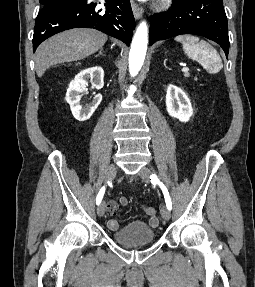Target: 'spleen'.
Masks as SVG:
<instances>
[{"label":"spleen","mask_w":255,"mask_h":287,"mask_svg":"<svg viewBox=\"0 0 255 287\" xmlns=\"http://www.w3.org/2000/svg\"><path fill=\"white\" fill-rule=\"evenodd\" d=\"M175 40L183 44V50L191 60H196V62L201 60L203 66H209L212 72H219L223 68L219 54L203 40L199 42V38L187 36V34L186 36H176Z\"/></svg>","instance_id":"obj_1"}]
</instances>
